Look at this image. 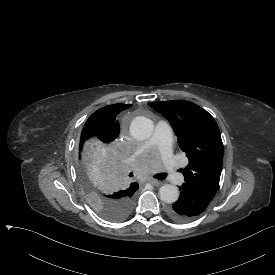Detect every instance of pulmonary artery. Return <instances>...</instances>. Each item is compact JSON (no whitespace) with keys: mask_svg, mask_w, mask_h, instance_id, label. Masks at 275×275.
I'll use <instances>...</instances> for the list:
<instances>
[{"mask_svg":"<svg viewBox=\"0 0 275 275\" xmlns=\"http://www.w3.org/2000/svg\"><path fill=\"white\" fill-rule=\"evenodd\" d=\"M155 126L158 131L151 136L149 142L133 152L128 158V161L132 162L135 157L140 155L142 152L149 151L152 146H158L161 142L159 145V151L163 154L165 164L167 165V175L171 180H176L179 177V171L176 156L174 155V130L170 128L169 121L164 117L157 118Z\"/></svg>","mask_w":275,"mask_h":275,"instance_id":"pulmonary-artery-1","label":"pulmonary artery"}]
</instances>
